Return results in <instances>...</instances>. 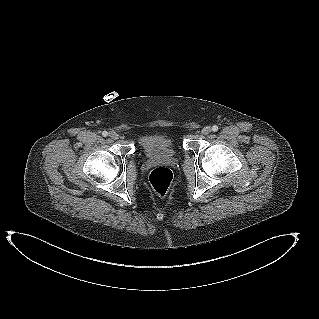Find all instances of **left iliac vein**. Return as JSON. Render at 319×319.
<instances>
[{"label":"left iliac vein","mask_w":319,"mask_h":319,"mask_svg":"<svg viewBox=\"0 0 319 319\" xmlns=\"http://www.w3.org/2000/svg\"><path fill=\"white\" fill-rule=\"evenodd\" d=\"M212 131V128L210 126H205L203 129H202V134L204 135H208L210 134Z\"/></svg>","instance_id":"left-iliac-vein-1"}]
</instances>
